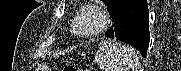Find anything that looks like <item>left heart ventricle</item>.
<instances>
[{
    "label": "left heart ventricle",
    "mask_w": 181,
    "mask_h": 71,
    "mask_svg": "<svg viewBox=\"0 0 181 71\" xmlns=\"http://www.w3.org/2000/svg\"><path fill=\"white\" fill-rule=\"evenodd\" d=\"M98 24V19L93 13H86L81 19V29L89 31Z\"/></svg>",
    "instance_id": "left-heart-ventricle-1"
}]
</instances>
